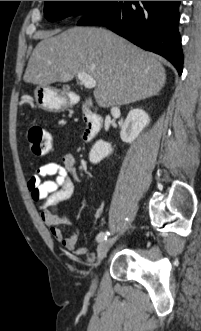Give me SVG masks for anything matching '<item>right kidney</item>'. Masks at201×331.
<instances>
[{
    "label": "right kidney",
    "mask_w": 201,
    "mask_h": 331,
    "mask_svg": "<svg viewBox=\"0 0 201 331\" xmlns=\"http://www.w3.org/2000/svg\"><path fill=\"white\" fill-rule=\"evenodd\" d=\"M150 118L148 114L142 109L131 110L121 128L120 137L123 142L131 143L143 129L149 124ZM113 149L110 143L103 140L97 141L90 153L89 160L93 164L99 163L103 158L112 153Z\"/></svg>",
    "instance_id": "ca27d5eb"
}]
</instances>
